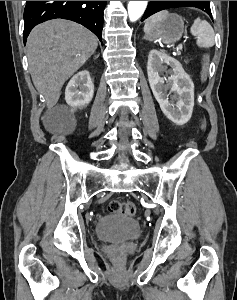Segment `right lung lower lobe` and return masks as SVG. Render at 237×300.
<instances>
[{
	"label": "right lung lower lobe",
	"mask_w": 237,
	"mask_h": 300,
	"mask_svg": "<svg viewBox=\"0 0 237 300\" xmlns=\"http://www.w3.org/2000/svg\"><path fill=\"white\" fill-rule=\"evenodd\" d=\"M105 6L106 1H27L24 10V44L34 26L55 18L80 23L102 41Z\"/></svg>",
	"instance_id": "98d812e1"
}]
</instances>
